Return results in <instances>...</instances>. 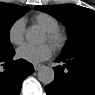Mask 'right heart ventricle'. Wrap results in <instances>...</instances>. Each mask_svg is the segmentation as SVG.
Segmentation results:
<instances>
[{
  "instance_id": "1",
  "label": "right heart ventricle",
  "mask_w": 95,
  "mask_h": 95,
  "mask_svg": "<svg viewBox=\"0 0 95 95\" xmlns=\"http://www.w3.org/2000/svg\"><path fill=\"white\" fill-rule=\"evenodd\" d=\"M34 21L45 31L50 32L59 29L58 20L47 14V13H38L34 17Z\"/></svg>"
}]
</instances>
